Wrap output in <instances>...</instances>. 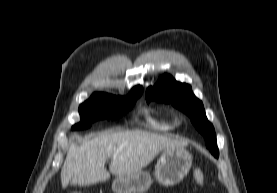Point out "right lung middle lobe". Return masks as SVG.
<instances>
[{
    "label": "right lung middle lobe",
    "mask_w": 277,
    "mask_h": 193,
    "mask_svg": "<svg viewBox=\"0 0 277 193\" xmlns=\"http://www.w3.org/2000/svg\"><path fill=\"white\" fill-rule=\"evenodd\" d=\"M141 94H129L126 97L94 93L87 101L79 106L81 121L72 126V130L91 127L96 120H114L132 109Z\"/></svg>",
    "instance_id": "1"
}]
</instances>
